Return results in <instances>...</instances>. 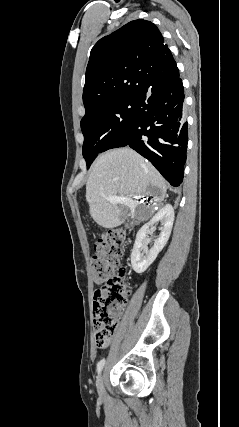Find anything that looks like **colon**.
Segmentation results:
<instances>
[{
  "mask_svg": "<svg viewBox=\"0 0 239 427\" xmlns=\"http://www.w3.org/2000/svg\"><path fill=\"white\" fill-rule=\"evenodd\" d=\"M125 238L126 233L122 229L105 232L97 241L96 253L91 259L94 280L100 285L95 291L93 303L95 342L102 349L113 339L130 294L126 269L121 263Z\"/></svg>",
  "mask_w": 239,
  "mask_h": 427,
  "instance_id": "colon-1",
  "label": "colon"
}]
</instances>
